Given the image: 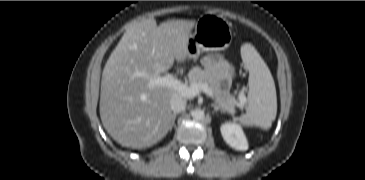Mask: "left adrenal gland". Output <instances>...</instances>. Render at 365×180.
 I'll use <instances>...</instances> for the list:
<instances>
[{
  "label": "left adrenal gland",
  "mask_w": 365,
  "mask_h": 180,
  "mask_svg": "<svg viewBox=\"0 0 365 180\" xmlns=\"http://www.w3.org/2000/svg\"><path fill=\"white\" fill-rule=\"evenodd\" d=\"M214 111L217 113L218 111H220L221 113H224V111L222 109H220L217 105H214Z\"/></svg>",
  "instance_id": "obj_1"
}]
</instances>
